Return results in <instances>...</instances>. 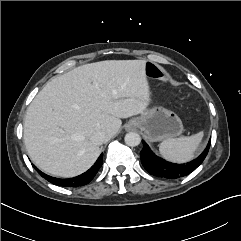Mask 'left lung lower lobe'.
I'll return each mask as SVG.
<instances>
[{
  "label": "left lung lower lobe",
  "instance_id": "obj_1",
  "mask_svg": "<svg viewBox=\"0 0 241 241\" xmlns=\"http://www.w3.org/2000/svg\"><path fill=\"white\" fill-rule=\"evenodd\" d=\"M143 149L140 152L141 163L144 168L151 174L157 177H165L169 179H176L183 177L194 171L205 159L211 139L203 153L195 160L185 163V164H176L167 162L166 160L157 157L149 148V146L142 141Z\"/></svg>",
  "mask_w": 241,
  "mask_h": 241
}]
</instances>
